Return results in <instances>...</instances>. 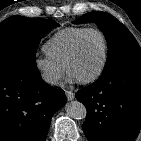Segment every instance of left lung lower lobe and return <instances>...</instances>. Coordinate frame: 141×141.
Returning <instances> with one entry per match:
<instances>
[{
	"label": "left lung lower lobe",
	"mask_w": 141,
	"mask_h": 141,
	"mask_svg": "<svg viewBox=\"0 0 141 141\" xmlns=\"http://www.w3.org/2000/svg\"><path fill=\"white\" fill-rule=\"evenodd\" d=\"M76 98L87 109L83 130L89 141H133L141 126V66L101 76Z\"/></svg>",
	"instance_id": "obj_1"
}]
</instances>
